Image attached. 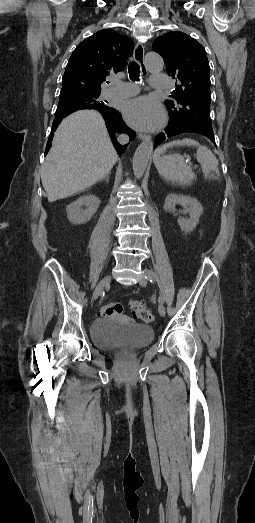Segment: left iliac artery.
Wrapping results in <instances>:
<instances>
[{
    "label": "left iliac artery",
    "instance_id": "obj_1",
    "mask_svg": "<svg viewBox=\"0 0 255 523\" xmlns=\"http://www.w3.org/2000/svg\"><path fill=\"white\" fill-rule=\"evenodd\" d=\"M145 278L150 281V282H153L154 281V278H155V275L154 273L151 271V270H146L145 271ZM158 302L160 304H162L164 302V299L163 297L160 295L159 298H158Z\"/></svg>",
    "mask_w": 255,
    "mask_h": 523
}]
</instances>
